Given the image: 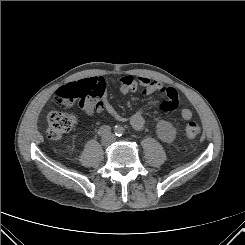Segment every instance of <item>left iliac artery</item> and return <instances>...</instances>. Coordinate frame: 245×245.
Listing matches in <instances>:
<instances>
[{"label": "left iliac artery", "instance_id": "1", "mask_svg": "<svg viewBox=\"0 0 245 245\" xmlns=\"http://www.w3.org/2000/svg\"><path fill=\"white\" fill-rule=\"evenodd\" d=\"M114 132L116 136L120 137L125 133V129L122 126H115Z\"/></svg>", "mask_w": 245, "mask_h": 245}]
</instances>
